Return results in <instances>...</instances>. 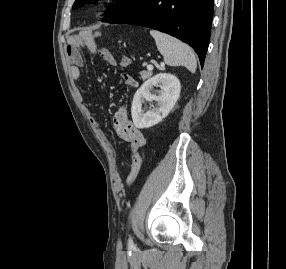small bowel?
I'll use <instances>...</instances> for the list:
<instances>
[{"label":"small bowel","instance_id":"1","mask_svg":"<svg viewBox=\"0 0 286 269\" xmlns=\"http://www.w3.org/2000/svg\"><path fill=\"white\" fill-rule=\"evenodd\" d=\"M85 45L87 49L91 52H99L102 60L111 66H117L118 62L114 55L107 49L98 50L95 43L91 40H85L83 42L77 41L76 39H70L67 46V56L70 61V77L73 80H78L81 76V68L84 66V59L81 55L80 49L82 45ZM89 121L93 128L99 130L98 121L89 114ZM113 125L116 129L120 138L129 144L131 148V169L130 173L126 179V184L131 185L137 178L142 163L145 159V153L141 149L146 144V139L142 131L133 126L128 110L126 107H119L113 116ZM113 158H116L113 152Z\"/></svg>","mask_w":286,"mask_h":269}]
</instances>
